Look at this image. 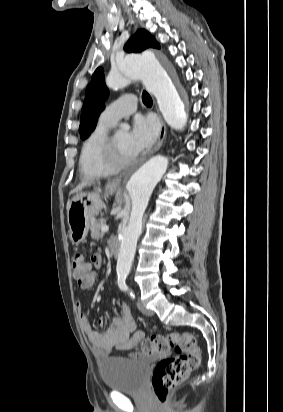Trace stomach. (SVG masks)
Segmentation results:
<instances>
[{"label":"stomach","mask_w":283,"mask_h":412,"mask_svg":"<svg viewBox=\"0 0 283 412\" xmlns=\"http://www.w3.org/2000/svg\"><path fill=\"white\" fill-rule=\"evenodd\" d=\"M116 187L106 186V194H113ZM103 202L99 193H79L70 203L67 211L69 236L73 244H79L85 240L91 220L99 214Z\"/></svg>","instance_id":"obj_1"}]
</instances>
